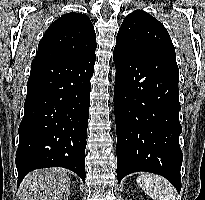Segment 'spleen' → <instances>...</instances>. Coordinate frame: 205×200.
<instances>
[{
    "mask_svg": "<svg viewBox=\"0 0 205 200\" xmlns=\"http://www.w3.org/2000/svg\"><path fill=\"white\" fill-rule=\"evenodd\" d=\"M136 181L153 200H176L172 185L162 176L143 173Z\"/></svg>",
    "mask_w": 205,
    "mask_h": 200,
    "instance_id": "obj_1",
    "label": "spleen"
}]
</instances>
